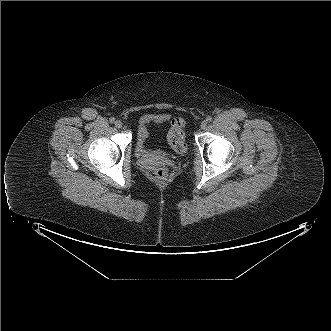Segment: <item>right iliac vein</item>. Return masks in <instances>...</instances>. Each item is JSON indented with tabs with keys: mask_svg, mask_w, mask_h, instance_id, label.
I'll return each mask as SVG.
<instances>
[{
	"mask_svg": "<svg viewBox=\"0 0 331 331\" xmlns=\"http://www.w3.org/2000/svg\"><path fill=\"white\" fill-rule=\"evenodd\" d=\"M122 126H123V124H122V122H121L120 120H117V121L115 122V127H116V128L120 129V128H122Z\"/></svg>",
	"mask_w": 331,
	"mask_h": 331,
	"instance_id": "right-iliac-vein-1",
	"label": "right iliac vein"
}]
</instances>
